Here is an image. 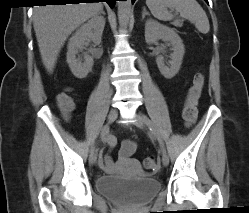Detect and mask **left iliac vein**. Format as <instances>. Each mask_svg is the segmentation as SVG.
Instances as JSON below:
<instances>
[{"label":"left iliac vein","mask_w":249,"mask_h":213,"mask_svg":"<svg viewBox=\"0 0 249 213\" xmlns=\"http://www.w3.org/2000/svg\"><path fill=\"white\" fill-rule=\"evenodd\" d=\"M133 122L139 128L145 127V121L142 118V116H140V115H135ZM162 163L164 166H167L169 164V157H168V154L166 153V151L163 152V154H162Z\"/></svg>","instance_id":"1"}]
</instances>
